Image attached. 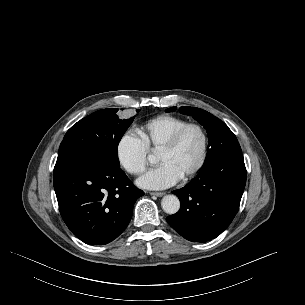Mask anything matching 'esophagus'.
Listing matches in <instances>:
<instances>
[{"label": "esophagus", "mask_w": 305, "mask_h": 305, "mask_svg": "<svg viewBox=\"0 0 305 305\" xmlns=\"http://www.w3.org/2000/svg\"><path fill=\"white\" fill-rule=\"evenodd\" d=\"M150 195L156 196V197H162L165 195L164 192H150Z\"/></svg>", "instance_id": "1"}]
</instances>
